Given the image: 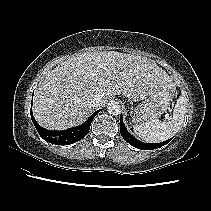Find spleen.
<instances>
[{
    "label": "spleen",
    "mask_w": 211,
    "mask_h": 211,
    "mask_svg": "<svg viewBox=\"0 0 211 211\" xmlns=\"http://www.w3.org/2000/svg\"><path fill=\"white\" fill-rule=\"evenodd\" d=\"M186 100L180 96L174 108L173 116L167 122L152 120L145 124L134 125V132L147 142L166 141L179 132L184 122Z\"/></svg>",
    "instance_id": "spleen-1"
}]
</instances>
